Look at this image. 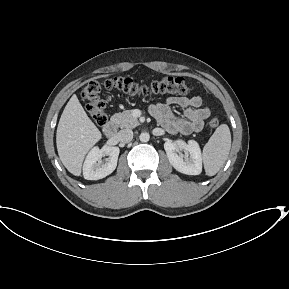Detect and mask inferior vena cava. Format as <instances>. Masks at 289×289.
Listing matches in <instances>:
<instances>
[{
	"label": "inferior vena cava",
	"mask_w": 289,
	"mask_h": 289,
	"mask_svg": "<svg viewBox=\"0 0 289 289\" xmlns=\"http://www.w3.org/2000/svg\"><path fill=\"white\" fill-rule=\"evenodd\" d=\"M120 142L128 143L133 139V131L130 129H122L117 133Z\"/></svg>",
	"instance_id": "1"
}]
</instances>
